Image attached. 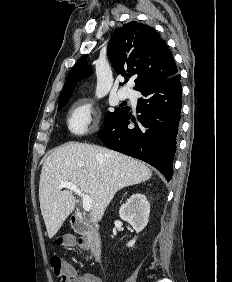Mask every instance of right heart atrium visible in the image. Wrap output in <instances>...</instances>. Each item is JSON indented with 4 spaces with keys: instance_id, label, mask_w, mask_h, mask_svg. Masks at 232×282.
<instances>
[{
    "instance_id": "obj_1",
    "label": "right heart atrium",
    "mask_w": 232,
    "mask_h": 282,
    "mask_svg": "<svg viewBox=\"0 0 232 282\" xmlns=\"http://www.w3.org/2000/svg\"><path fill=\"white\" fill-rule=\"evenodd\" d=\"M95 118V106L88 100H79L74 104L67 117L68 130L75 136L85 135L92 128Z\"/></svg>"
}]
</instances>
